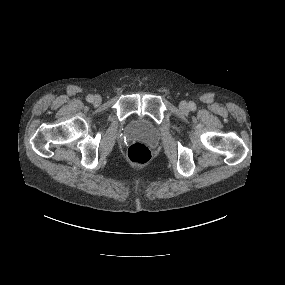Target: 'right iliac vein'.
Wrapping results in <instances>:
<instances>
[{"label": "right iliac vein", "mask_w": 285, "mask_h": 285, "mask_svg": "<svg viewBox=\"0 0 285 285\" xmlns=\"http://www.w3.org/2000/svg\"><path fill=\"white\" fill-rule=\"evenodd\" d=\"M93 102L95 105H99L101 103V97L99 95H96L93 99Z\"/></svg>", "instance_id": "1"}]
</instances>
